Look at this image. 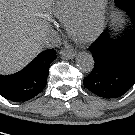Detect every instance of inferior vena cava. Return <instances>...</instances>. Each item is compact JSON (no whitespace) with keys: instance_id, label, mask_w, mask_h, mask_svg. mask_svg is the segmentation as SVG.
<instances>
[{"instance_id":"inferior-vena-cava-1","label":"inferior vena cava","mask_w":135,"mask_h":135,"mask_svg":"<svg viewBox=\"0 0 135 135\" xmlns=\"http://www.w3.org/2000/svg\"><path fill=\"white\" fill-rule=\"evenodd\" d=\"M41 43L46 48H56L60 45V36L55 31L46 32L42 35Z\"/></svg>"}]
</instances>
